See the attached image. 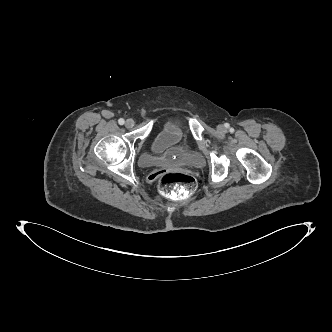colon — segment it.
<instances>
[{"label": "colon", "mask_w": 332, "mask_h": 332, "mask_svg": "<svg viewBox=\"0 0 332 332\" xmlns=\"http://www.w3.org/2000/svg\"><path fill=\"white\" fill-rule=\"evenodd\" d=\"M159 191L178 200L192 196L196 190L195 178L186 172H160L153 175Z\"/></svg>", "instance_id": "5ec220e1"}]
</instances>
